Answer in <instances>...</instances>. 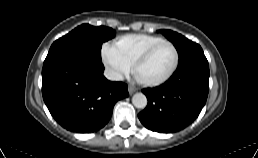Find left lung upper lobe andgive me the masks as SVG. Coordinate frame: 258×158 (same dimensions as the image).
Instances as JSON below:
<instances>
[{
  "mask_svg": "<svg viewBox=\"0 0 258 158\" xmlns=\"http://www.w3.org/2000/svg\"><path fill=\"white\" fill-rule=\"evenodd\" d=\"M160 32L176 47L179 54V62L182 61L191 52V50L199 47L198 44L188 40L176 32L170 30H160Z\"/></svg>",
  "mask_w": 258,
  "mask_h": 158,
  "instance_id": "1",
  "label": "left lung upper lobe"
}]
</instances>
